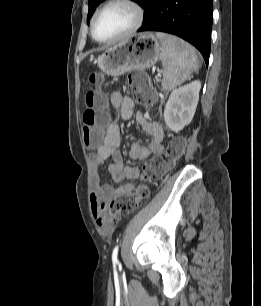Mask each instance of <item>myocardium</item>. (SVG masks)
<instances>
[{
	"label": "myocardium",
	"mask_w": 261,
	"mask_h": 306,
	"mask_svg": "<svg viewBox=\"0 0 261 306\" xmlns=\"http://www.w3.org/2000/svg\"><path fill=\"white\" fill-rule=\"evenodd\" d=\"M115 4H123L126 5L128 7H130L135 14V20L132 24V26L123 34H120L118 36L109 38V39H99L96 35H95V27H96V22L97 19L99 17V15L108 7L115 5ZM144 9L143 7L140 5V3L136 0H108L107 2H105L94 14L92 21H91V27H90V32H91V36L92 38L99 42V43H113L119 40H122L130 35H132L133 33H135L142 25L143 21H144Z\"/></svg>",
	"instance_id": "myocardium-1"
}]
</instances>
